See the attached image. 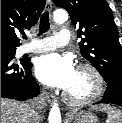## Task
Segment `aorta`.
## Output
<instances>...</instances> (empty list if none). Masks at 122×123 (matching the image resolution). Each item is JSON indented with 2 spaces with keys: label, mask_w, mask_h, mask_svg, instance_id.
<instances>
[{
  "label": "aorta",
  "mask_w": 122,
  "mask_h": 123,
  "mask_svg": "<svg viewBox=\"0 0 122 123\" xmlns=\"http://www.w3.org/2000/svg\"><path fill=\"white\" fill-rule=\"evenodd\" d=\"M68 20V14L65 10H56L54 12V21L62 24ZM49 123H61V113L59 107L54 104L49 113Z\"/></svg>",
  "instance_id": "obj_1"
}]
</instances>
